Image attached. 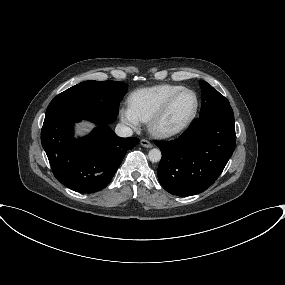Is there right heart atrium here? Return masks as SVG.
Returning <instances> with one entry per match:
<instances>
[{"label": "right heart atrium", "instance_id": "d8ad5b80", "mask_svg": "<svg viewBox=\"0 0 285 285\" xmlns=\"http://www.w3.org/2000/svg\"><path fill=\"white\" fill-rule=\"evenodd\" d=\"M120 118L126 125L137 128L140 125V120L129 105L123 106L119 111Z\"/></svg>", "mask_w": 285, "mask_h": 285}]
</instances>
